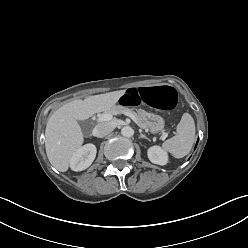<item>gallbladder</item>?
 Listing matches in <instances>:
<instances>
[{
    "instance_id": "obj_1",
    "label": "gallbladder",
    "mask_w": 248,
    "mask_h": 248,
    "mask_svg": "<svg viewBox=\"0 0 248 248\" xmlns=\"http://www.w3.org/2000/svg\"><path fill=\"white\" fill-rule=\"evenodd\" d=\"M79 125H80V127L82 128V130H83L84 132H87V131L89 130V127H90L89 121H86V120L80 121V122H79Z\"/></svg>"
}]
</instances>
